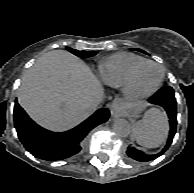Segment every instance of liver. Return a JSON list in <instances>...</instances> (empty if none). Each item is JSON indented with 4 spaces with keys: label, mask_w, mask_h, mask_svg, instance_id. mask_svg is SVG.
<instances>
[{
    "label": "liver",
    "mask_w": 194,
    "mask_h": 193,
    "mask_svg": "<svg viewBox=\"0 0 194 193\" xmlns=\"http://www.w3.org/2000/svg\"><path fill=\"white\" fill-rule=\"evenodd\" d=\"M104 96L90 68L64 50L39 58L22 78L18 102L38 124L52 131L69 130L92 113L90 101Z\"/></svg>",
    "instance_id": "1"
}]
</instances>
